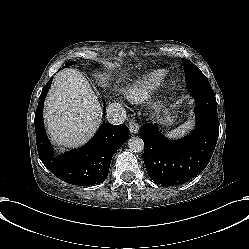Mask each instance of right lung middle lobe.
<instances>
[{
	"label": "right lung middle lobe",
	"instance_id": "1",
	"mask_svg": "<svg viewBox=\"0 0 249 249\" xmlns=\"http://www.w3.org/2000/svg\"><path fill=\"white\" fill-rule=\"evenodd\" d=\"M73 64H75V62H67V63L65 64V67L71 66V65H73Z\"/></svg>",
	"mask_w": 249,
	"mask_h": 249
}]
</instances>
